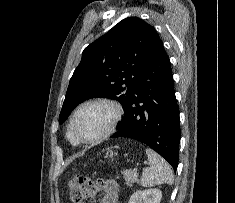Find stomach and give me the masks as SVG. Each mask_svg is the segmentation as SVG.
I'll list each match as a JSON object with an SVG mask.
<instances>
[{"mask_svg": "<svg viewBox=\"0 0 235 203\" xmlns=\"http://www.w3.org/2000/svg\"><path fill=\"white\" fill-rule=\"evenodd\" d=\"M109 156H110V157H112V156H113V154H110Z\"/></svg>", "mask_w": 235, "mask_h": 203, "instance_id": "obj_1", "label": "stomach"}]
</instances>
